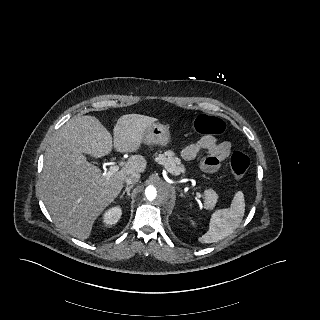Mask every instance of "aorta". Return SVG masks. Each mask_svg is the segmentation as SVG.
<instances>
[{
  "instance_id": "obj_1",
  "label": "aorta",
  "mask_w": 320,
  "mask_h": 320,
  "mask_svg": "<svg viewBox=\"0 0 320 320\" xmlns=\"http://www.w3.org/2000/svg\"><path fill=\"white\" fill-rule=\"evenodd\" d=\"M172 196L171 186L156 178L145 188L142 198L152 210L162 211L164 204L170 201Z\"/></svg>"
}]
</instances>
